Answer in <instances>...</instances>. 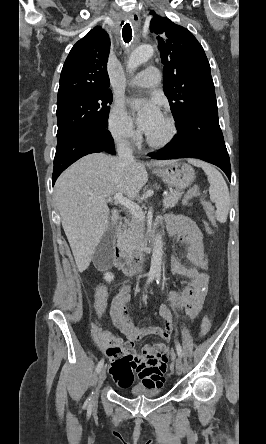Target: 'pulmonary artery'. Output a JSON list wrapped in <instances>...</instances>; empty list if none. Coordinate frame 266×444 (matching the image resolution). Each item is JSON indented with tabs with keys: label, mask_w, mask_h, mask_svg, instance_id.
Returning <instances> with one entry per match:
<instances>
[{
	"label": "pulmonary artery",
	"mask_w": 266,
	"mask_h": 444,
	"mask_svg": "<svg viewBox=\"0 0 266 444\" xmlns=\"http://www.w3.org/2000/svg\"><path fill=\"white\" fill-rule=\"evenodd\" d=\"M160 80V70L155 66H150L134 76L129 83L133 86L149 88L158 85Z\"/></svg>",
	"instance_id": "pulmonary-artery-1"
}]
</instances>
